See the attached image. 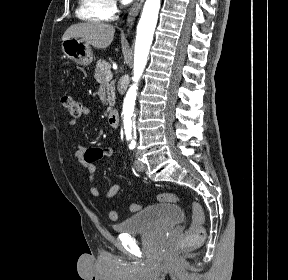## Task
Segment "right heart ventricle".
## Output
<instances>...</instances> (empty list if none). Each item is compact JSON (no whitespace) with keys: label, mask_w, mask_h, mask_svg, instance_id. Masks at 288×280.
Instances as JSON below:
<instances>
[{"label":"right heart ventricle","mask_w":288,"mask_h":280,"mask_svg":"<svg viewBox=\"0 0 288 280\" xmlns=\"http://www.w3.org/2000/svg\"><path fill=\"white\" fill-rule=\"evenodd\" d=\"M104 6V0H79L76 14L84 21L101 22L107 19Z\"/></svg>","instance_id":"1"}]
</instances>
